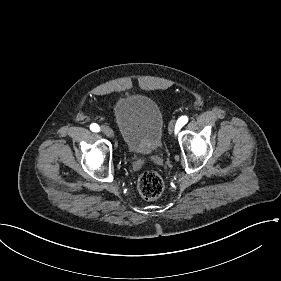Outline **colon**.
Wrapping results in <instances>:
<instances>
[{
    "label": "colon",
    "mask_w": 281,
    "mask_h": 281,
    "mask_svg": "<svg viewBox=\"0 0 281 281\" xmlns=\"http://www.w3.org/2000/svg\"><path fill=\"white\" fill-rule=\"evenodd\" d=\"M137 187L145 198L151 200L161 195L165 184L158 172L149 170L139 177Z\"/></svg>",
    "instance_id": "5ec220e1"
}]
</instances>
